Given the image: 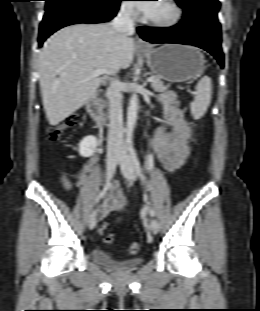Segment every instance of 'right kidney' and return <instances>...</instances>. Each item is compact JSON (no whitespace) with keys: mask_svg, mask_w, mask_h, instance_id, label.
Segmentation results:
<instances>
[{"mask_svg":"<svg viewBox=\"0 0 260 311\" xmlns=\"http://www.w3.org/2000/svg\"><path fill=\"white\" fill-rule=\"evenodd\" d=\"M98 141L95 136L89 135L84 137L79 143V154L82 157H90L94 154Z\"/></svg>","mask_w":260,"mask_h":311,"instance_id":"obj_1","label":"right kidney"}]
</instances>
